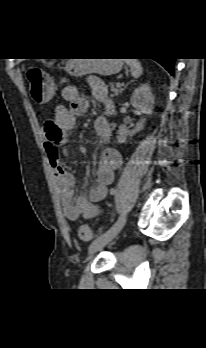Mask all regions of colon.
<instances>
[{
  "label": "colon",
  "instance_id": "colon-1",
  "mask_svg": "<svg viewBox=\"0 0 206 348\" xmlns=\"http://www.w3.org/2000/svg\"><path fill=\"white\" fill-rule=\"evenodd\" d=\"M26 80L29 84L31 95L36 100L45 99L54 87L45 72L39 67L29 68L26 72ZM50 121L47 120L45 126ZM78 236L83 241H90L93 238V233L88 225H81L78 228Z\"/></svg>",
  "mask_w": 206,
  "mask_h": 348
}]
</instances>
